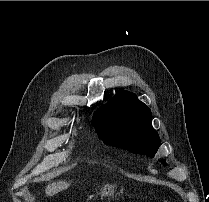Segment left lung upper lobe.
Segmentation results:
<instances>
[{"mask_svg":"<svg viewBox=\"0 0 209 202\" xmlns=\"http://www.w3.org/2000/svg\"><path fill=\"white\" fill-rule=\"evenodd\" d=\"M151 116L135 94L120 90L96 112L92 122L106 144L153 157L161 141L152 128Z\"/></svg>","mask_w":209,"mask_h":202,"instance_id":"5c2ea615","label":"left lung upper lobe"}]
</instances>
